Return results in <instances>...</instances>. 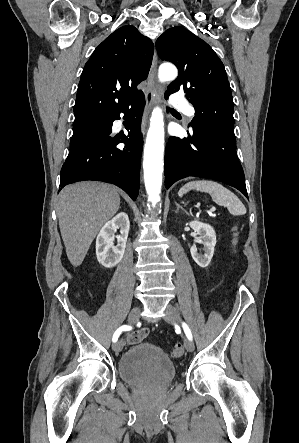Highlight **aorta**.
<instances>
[{
    "label": "aorta",
    "instance_id": "aorta-1",
    "mask_svg": "<svg viewBox=\"0 0 299 443\" xmlns=\"http://www.w3.org/2000/svg\"><path fill=\"white\" fill-rule=\"evenodd\" d=\"M177 69L171 64L159 67L158 78L161 82L177 77ZM164 167V121L161 108H154L144 147V182L148 201L153 206L160 202L162 172Z\"/></svg>",
    "mask_w": 299,
    "mask_h": 443
}]
</instances>
